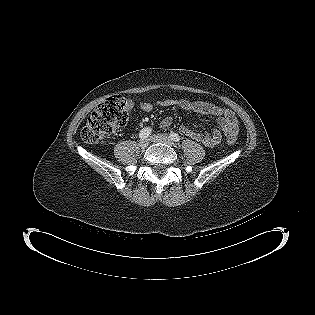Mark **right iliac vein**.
<instances>
[{
  "label": "right iliac vein",
  "instance_id": "right-iliac-vein-1",
  "mask_svg": "<svg viewBox=\"0 0 315 315\" xmlns=\"http://www.w3.org/2000/svg\"><path fill=\"white\" fill-rule=\"evenodd\" d=\"M149 145V142L147 139H141L139 141V146L142 148V149H145L147 146Z\"/></svg>",
  "mask_w": 315,
  "mask_h": 315
}]
</instances>
